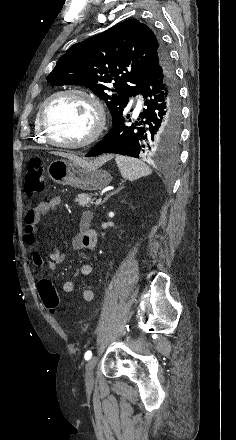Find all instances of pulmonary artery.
I'll list each match as a JSON object with an SVG mask.
<instances>
[{"instance_id": "1", "label": "pulmonary artery", "mask_w": 236, "mask_h": 440, "mask_svg": "<svg viewBox=\"0 0 236 440\" xmlns=\"http://www.w3.org/2000/svg\"><path fill=\"white\" fill-rule=\"evenodd\" d=\"M141 109V101H138V105H137V111H139Z\"/></svg>"}]
</instances>
